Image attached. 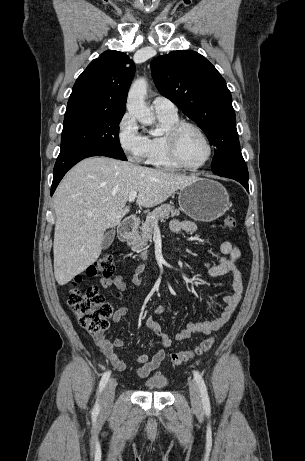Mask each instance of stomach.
<instances>
[{"mask_svg": "<svg viewBox=\"0 0 305 461\" xmlns=\"http://www.w3.org/2000/svg\"><path fill=\"white\" fill-rule=\"evenodd\" d=\"M180 209L196 221L210 222L221 217L229 207V195L219 182L196 178L180 188Z\"/></svg>", "mask_w": 305, "mask_h": 461, "instance_id": "1", "label": "stomach"}]
</instances>
